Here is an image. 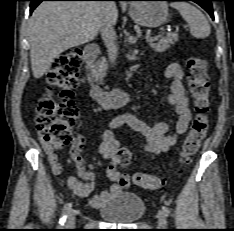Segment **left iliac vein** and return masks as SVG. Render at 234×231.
<instances>
[{
    "label": "left iliac vein",
    "mask_w": 234,
    "mask_h": 231,
    "mask_svg": "<svg viewBox=\"0 0 234 231\" xmlns=\"http://www.w3.org/2000/svg\"><path fill=\"white\" fill-rule=\"evenodd\" d=\"M158 217V226L160 228H166L167 227V219L166 215L164 214L163 211H159L157 214Z\"/></svg>",
    "instance_id": "obj_1"
}]
</instances>
